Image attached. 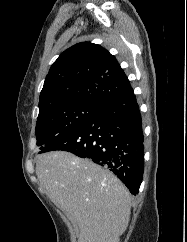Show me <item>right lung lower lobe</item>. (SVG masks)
I'll list each match as a JSON object with an SVG mask.
<instances>
[{
  "instance_id": "obj_1",
  "label": "right lung lower lobe",
  "mask_w": 187,
  "mask_h": 242,
  "mask_svg": "<svg viewBox=\"0 0 187 242\" xmlns=\"http://www.w3.org/2000/svg\"><path fill=\"white\" fill-rule=\"evenodd\" d=\"M141 115L133 92L112 100L40 153L63 150L110 169L132 194H138L144 171Z\"/></svg>"
}]
</instances>
